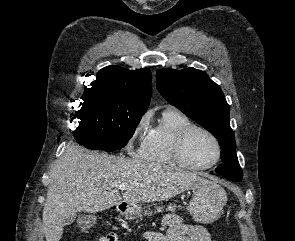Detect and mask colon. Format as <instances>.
<instances>
[{"label": "colon", "mask_w": 295, "mask_h": 241, "mask_svg": "<svg viewBox=\"0 0 295 241\" xmlns=\"http://www.w3.org/2000/svg\"><path fill=\"white\" fill-rule=\"evenodd\" d=\"M86 222H87L88 227H91V226H93L95 224V221H94V219L92 217L87 218ZM107 236H109V235H107Z\"/></svg>", "instance_id": "1"}]
</instances>
